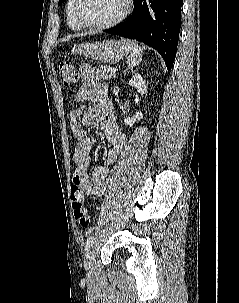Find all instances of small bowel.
<instances>
[{"instance_id":"obj_1","label":"small bowel","mask_w":239,"mask_h":303,"mask_svg":"<svg viewBox=\"0 0 239 303\" xmlns=\"http://www.w3.org/2000/svg\"><path fill=\"white\" fill-rule=\"evenodd\" d=\"M80 73L81 86L75 95V103L92 102L91 107L84 113L83 124L87 127L97 124L101 126L111 145L107 153V164L111 165L126 146L127 137L116 122L113 104L107 94V84L98 69L83 64ZM70 123L76 142L72 154L76 166L72 187H78L89 196L101 197L110 179L109 169L106 165L97 166L89 176L90 152L95 145V139L81 129L75 113L71 114Z\"/></svg>"}]
</instances>
